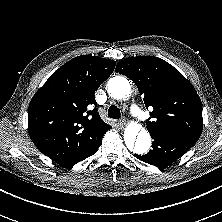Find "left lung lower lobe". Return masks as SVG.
Segmentation results:
<instances>
[{
  "mask_svg": "<svg viewBox=\"0 0 222 222\" xmlns=\"http://www.w3.org/2000/svg\"><path fill=\"white\" fill-rule=\"evenodd\" d=\"M153 141L152 147L145 155H134L139 160L156 167H164L175 162L183 156L194 144L198 138L187 134L153 130L149 131Z\"/></svg>",
  "mask_w": 222,
  "mask_h": 222,
  "instance_id": "1",
  "label": "left lung lower lobe"
}]
</instances>
